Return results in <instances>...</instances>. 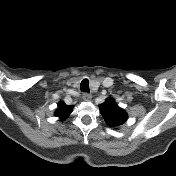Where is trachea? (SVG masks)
<instances>
[{
	"label": "trachea",
	"mask_w": 176,
	"mask_h": 176,
	"mask_svg": "<svg viewBox=\"0 0 176 176\" xmlns=\"http://www.w3.org/2000/svg\"><path fill=\"white\" fill-rule=\"evenodd\" d=\"M80 89L82 92H85V93L90 92L88 79H84L81 81Z\"/></svg>",
	"instance_id": "3493384b"
}]
</instances>
